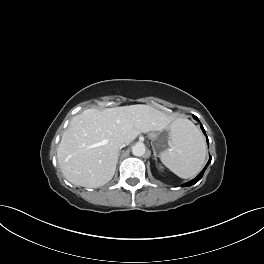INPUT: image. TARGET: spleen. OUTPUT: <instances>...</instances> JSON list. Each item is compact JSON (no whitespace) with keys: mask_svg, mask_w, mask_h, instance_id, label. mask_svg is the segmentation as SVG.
<instances>
[{"mask_svg":"<svg viewBox=\"0 0 264 264\" xmlns=\"http://www.w3.org/2000/svg\"><path fill=\"white\" fill-rule=\"evenodd\" d=\"M169 146L160 159L173 173L187 179L200 171L206 158V145L201 132L190 120L175 121Z\"/></svg>","mask_w":264,"mask_h":264,"instance_id":"1","label":"spleen"}]
</instances>
